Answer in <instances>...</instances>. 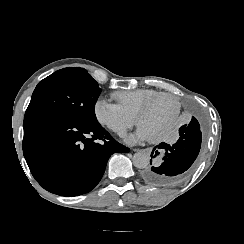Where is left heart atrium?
Returning <instances> with one entry per match:
<instances>
[{
  "label": "left heart atrium",
  "instance_id": "obj_1",
  "mask_svg": "<svg viewBox=\"0 0 244 244\" xmlns=\"http://www.w3.org/2000/svg\"><path fill=\"white\" fill-rule=\"evenodd\" d=\"M160 136L150 133L145 127H141L136 135L130 136L128 142H137L142 139H158Z\"/></svg>",
  "mask_w": 244,
  "mask_h": 244
}]
</instances>
